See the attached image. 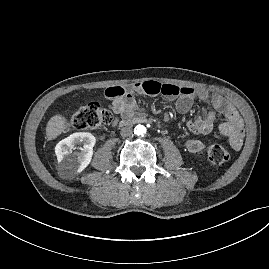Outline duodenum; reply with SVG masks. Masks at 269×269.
<instances>
[{
	"label": "duodenum",
	"mask_w": 269,
	"mask_h": 269,
	"mask_svg": "<svg viewBox=\"0 0 269 269\" xmlns=\"http://www.w3.org/2000/svg\"><path fill=\"white\" fill-rule=\"evenodd\" d=\"M146 118L142 117V116H135V117H131V118H127L122 120L119 123V126H128V125H132V124H138V123H143L146 122Z\"/></svg>",
	"instance_id": "obj_1"
}]
</instances>
